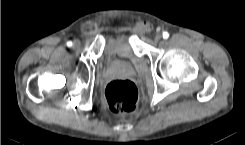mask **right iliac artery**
Wrapping results in <instances>:
<instances>
[{
    "mask_svg": "<svg viewBox=\"0 0 245 145\" xmlns=\"http://www.w3.org/2000/svg\"><path fill=\"white\" fill-rule=\"evenodd\" d=\"M67 46H68V47H71V46H72V42H71V41H68V42H67Z\"/></svg>",
    "mask_w": 245,
    "mask_h": 145,
    "instance_id": "right-iliac-artery-1",
    "label": "right iliac artery"
}]
</instances>
